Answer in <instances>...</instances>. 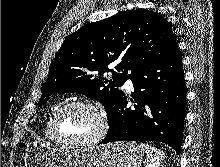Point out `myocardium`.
<instances>
[{
  "mask_svg": "<svg viewBox=\"0 0 220 167\" xmlns=\"http://www.w3.org/2000/svg\"><path fill=\"white\" fill-rule=\"evenodd\" d=\"M72 106H81L87 108L97 117L98 128L92 136L80 140H65L59 137L56 127L57 119L64 110ZM108 129L109 123L105 111L99 106L87 100L77 99L62 104L58 109L55 110L50 120V132L53 140L58 144L70 147H86L95 145L105 138Z\"/></svg>",
  "mask_w": 220,
  "mask_h": 167,
  "instance_id": "obj_1",
  "label": "myocardium"
}]
</instances>
